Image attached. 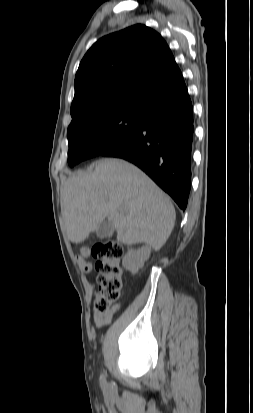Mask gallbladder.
Segmentation results:
<instances>
[{
    "label": "gallbladder",
    "mask_w": 253,
    "mask_h": 413,
    "mask_svg": "<svg viewBox=\"0 0 253 413\" xmlns=\"http://www.w3.org/2000/svg\"><path fill=\"white\" fill-rule=\"evenodd\" d=\"M114 232V226L112 222L104 220L96 229V235L98 238L103 239L108 236H111Z\"/></svg>",
    "instance_id": "obj_1"
}]
</instances>
